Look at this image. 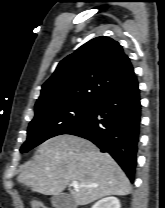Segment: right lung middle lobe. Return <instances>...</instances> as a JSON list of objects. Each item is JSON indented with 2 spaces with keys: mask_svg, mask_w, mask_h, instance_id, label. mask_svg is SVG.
<instances>
[{
  "mask_svg": "<svg viewBox=\"0 0 165 208\" xmlns=\"http://www.w3.org/2000/svg\"><path fill=\"white\" fill-rule=\"evenodd\" d=\"M96 103L69 101L36 109L20 151L27 152L51 137L73 130L91 114Z\"/></svg>",
  "mask_w": 165,
  "mask_h": 208,
  "instance_id": "dd1d6c3e",
  "label": "right lung middle lobe"
}]
</instances>
